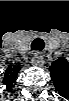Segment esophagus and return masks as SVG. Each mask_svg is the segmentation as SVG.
Segmentation results:
<instances>
[{"label": "esophagus", "mask_w": 69, "mask_h": 101, "mask_svg": "<svg viewBox=\"0 0 69 101\" xmlns=\"http://www.w3.org/2000/svg\"><path fill=\"white\" fill-rule=\"evenodd\" d=\"M32 65L35 67H42L44 65V59L40 52H36L32 59Z\"/></svg>", "instance_id": "34e87169"}]
</instances>
